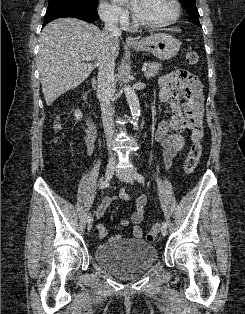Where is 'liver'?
I'll list each match as a JSON object with an SVG mask.
<instances>
[{
  "instance_id": "obj_1",
  "label": "liver",
  "mask_w": 245,
  "mask_h": 314,
  "mask_svg": "<svg viewBox=\"0 0 245 314\" xmlns=\"http://www.w3.org/2000/svg\"><path fill=\"white\" fill-rule=\"evenodd\" d=\"M38 70L47 105L84 82L103 61L119 55V40L75 18L48 23L39 38ZM83 56L93 60L87 62Z\"/></svg>"
}]
</instances>
